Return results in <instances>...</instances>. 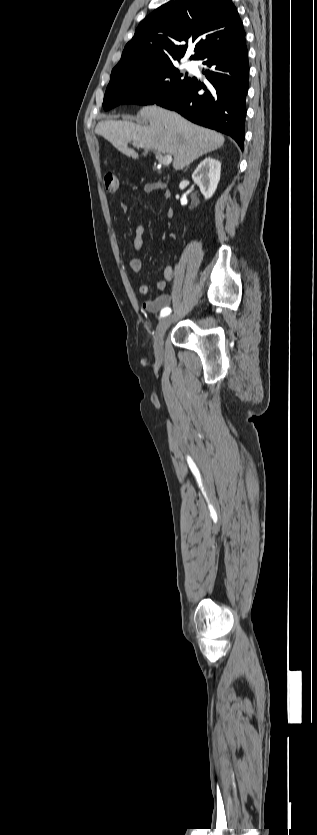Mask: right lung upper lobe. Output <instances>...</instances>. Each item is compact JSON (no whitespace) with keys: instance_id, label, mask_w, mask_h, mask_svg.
I'll use <instances>...</instances> for the list:
<instances>
[{"instance_id":"right-lung-upper-lobe-1","label":"right lung upper lobe","mask_w":317,"mask_h":835,"mask_svg":"<svg viewBox=\"0 0 317 835\" xmlns=\"http://www.w3.org/2000/svg\"><path fill=\"white\" fill-rule=\"evenodd\" d=\"M245 39L243 24L231 0H177L157 8L138 25L114 71H142L172 64L195 42L190 59L222 45ZM112 70V71H113Z\"/></svg>"}]
</instances>
